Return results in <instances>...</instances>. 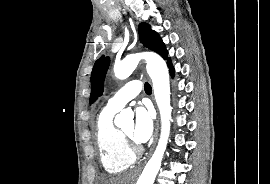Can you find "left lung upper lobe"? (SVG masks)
Returning <instances> with one entry per match:
<instances>
[{"label": "left lung upper lobe", "mask_w": 270, "mask_h": 184, "mask_svg": "<svg viewBox=\"0 0 270 184\" xmlns=\"http://www.w3.org/2000/svg\"><path fill=\"white\" fill-rule=\"evenodd\" d=\"M139 38L145 47L158 53L164 59H168V52L162 39L159 37L157 32L151 29L149 24L142 22L139 25ZM109 64V57H105L104 55L95 62L91 73V94L89 104L94 103L98 97L102 95L104 79Z\"/></svg>", "instance_id": "5c2ea615"}]
</instances>
